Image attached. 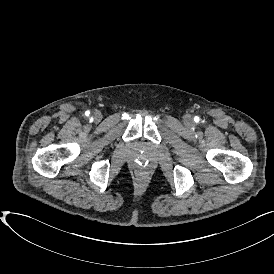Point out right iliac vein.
<instances>
[{
	"label": "right iliac vein",
	"mask_w": 274,
	"mask_h": 274,
	"mask_svg": "<svg viewBox=\"0 0 274 274\" xmlns=\"http://www.w3.org/2000/svg\"><path fill=\"white\" fill-rule=\"evenodd\" d=\"M93 119L95 122H100V120L102 119V114L100 111L96 110L93 112Z\"/></svg>",
	"instance_id": "obj_1"
}]
</instances>
